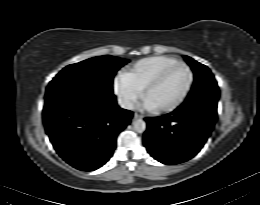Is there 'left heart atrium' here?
Returning a JSON list of instances; mask_svg holds the SVG:
<instances>
[{"label": "left heart atrium", "mask_w": 260, "mask_h": 205, "mask_svg": "<svg viewBox=\"0 0 260 205\" xmlns=\"http://www.w3.org/2000/svg\"><path fill=\"white\" fill-rule=\"evenodd\" d=\"M142 108H145V109H155L156 107L150 101L145 100V102L142 104Z\"/></svg>", "instance_id": "39dd6f15"}]
</instances>
